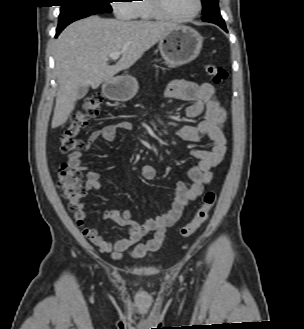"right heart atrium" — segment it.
I'll return each instance as SVG.
<instances>
[{
    "label": "right heart atrium",
    "instance_id": "d8ad5b80",
    "mask_svg": "<svg viewBox=\"0 0 304 329\" xmlns=\"http://www.w3.org/2000/svg\"><path fill=\"white\" fill-rule=\"evenodd\" d=\"M112 7L116 16L120 19H132L134 8L131 0H114Z\"/></svg>",
    "mask_w": 304,
    "mask_h": 329
}]
</instances>
